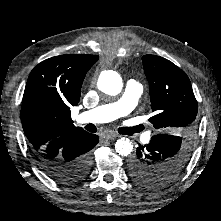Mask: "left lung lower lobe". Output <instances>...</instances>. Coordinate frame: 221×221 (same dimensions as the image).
Segmentation results:
<instances>
[{
	"label": "left lung lower lobe",
	"instance_id": "left-lung-lower-lobe-1",
	"mask_svg": "<svg viewBox=\"0 0 221 221\" xmlns=\"http://www.w3.org/2000/svg\"><path fill=\"white\" fill-rule=\"evenodd\" d=\"M172 136L168 134H158L151 138V142L147 145H139L136 150V155L131 159L129 163V172L131 177L140 183L141 174L146 172L160 173V158L161 152L164 151V143L171 140ZM167 182L165 185L169 184ZM141 184V183H140ZM143 185V184H142ZM146 186V185H145ZM164 186V185H162ZM160 186V187H162ZM151 187V186H148ZM159 188V187H152Z\"/></svg>",
	"mask_w": 221,
	"mask_h": 221
}]
</instances>
